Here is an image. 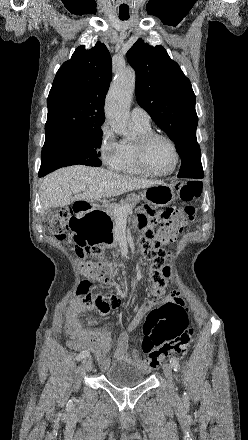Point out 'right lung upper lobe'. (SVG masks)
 <instances>
[{
    "label": "right lung upper lobe",
    "instance_id": "cb5924a9",
    "mask_svg": "<svg viewBox=\"0 0 248 440\" xmlns=\"http://www.w3.org/2000/svg\"><path fill=\"white\" fill-rule=\"evenodd\" d=\"M111 70L110 53L101 42L89 50H75L57 71L47 99L46 140L101 128Z\"/></svg>",
    "mask_w": 248,
    "mask_h": 440
}]
</instances>
